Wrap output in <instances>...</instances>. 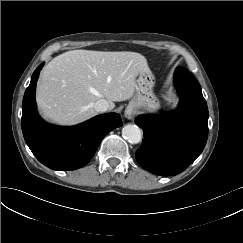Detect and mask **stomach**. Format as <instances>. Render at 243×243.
<instances>
[{
	"label": "stomach",
	"instance_id": "1",
	"mask_svg": "<svg viewBox=\"0 0 243 243\" xmlns=\"http://www.w3.org/2000/svg\"><path fill=\"white\" fill-rule=\"evenodd\" d=\"M154 84L155 76L153 73L149 69L141 71L136 80V94L129 106L151 112L157 111L160 107V102L153 92Z\"/></svg>",
	"mask_w": 243,
	"mask_h": 243
}]
</instances>
